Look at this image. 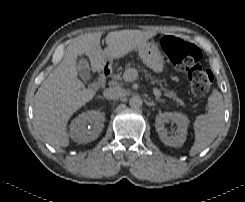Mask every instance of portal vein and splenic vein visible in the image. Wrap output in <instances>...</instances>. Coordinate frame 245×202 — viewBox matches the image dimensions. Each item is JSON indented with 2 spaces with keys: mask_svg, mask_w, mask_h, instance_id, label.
I'll list each match as a JSON object with an SVG mask.
<instances>
[{
  "mask_svg": "<svg viewBox=\"0 0 245 202\" xmlns=\"http://www.w3.org/2000/svg\"><path fill=\"white\" fill-rule=\"evenodd\" d=\"M138 77V73H137V70L134 69V68H130V69H127L124 74H123V79L126 81V82H132L134 80H136ZM153 93L156 97H160L161 96V92L159 89L157 88H153Z\"/></svg>",
  "mask_w": 245,
  "mask_h": 202,
  "instance_id": "1",
  "label": "portal vein and splenic vein"
}]
</instances>
